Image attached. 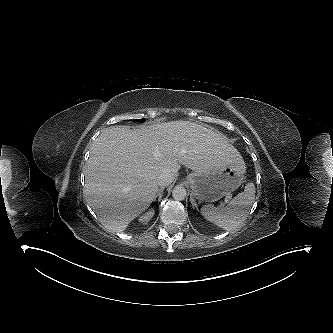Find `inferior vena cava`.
<instances>
[{"instance_id":"602c4592","label":"inferior vena cava","mask_w":333,"mask_h":333,"mask_svg":"<svg viewBox=\"0 0 333 333\" xmlns=\"http://www.w3.org/2000/svg\"><path fill=\"white\" fill-rule=\"evenodd\" d=\"M172 181H173V177L170 174L162 173L159 175V177L157 179V184L161 188H164V187L168 186L169 184H171Z\"/></svg>"}]
</instances>
